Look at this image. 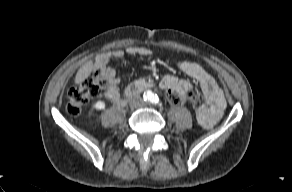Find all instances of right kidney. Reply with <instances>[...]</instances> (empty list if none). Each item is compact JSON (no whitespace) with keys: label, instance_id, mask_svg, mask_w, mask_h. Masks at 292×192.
<instances>
[{"label":"right kidney","instance_id":"ca27d5eb","mask_svg":"<svg viewBox=\"0 0 292 192\" xmlns=\"http://www.w3.org/2000/svg\"><path fill=\"white\" fill-rule=\"evenodd\" d=\"M94 108L96 110H102L105 108V102L103 101H97L95 104H94Z\"/></svg>","mask_w":292,"mask_h":192}]
</instances>
